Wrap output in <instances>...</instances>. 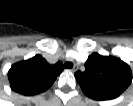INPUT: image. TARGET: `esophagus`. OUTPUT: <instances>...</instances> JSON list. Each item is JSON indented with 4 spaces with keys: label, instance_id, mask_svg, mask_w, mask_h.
<instances>
[{
    "label": "esophagus",
    "instance_id": "obj_1",
    "mask_svg": "<svg viewBox=\"0 0 133 106\" xmlns=\"http://www.w3.org/2000/svg\"><path fill=\"white\" fill-rule=\"evenodd\" d=\"M77 69H78V66L75 64V65L73 66V68L71 69V71L76 72Z\"/></svg>",
    "mask_w": 133,
    "mask_h": 106
}]
</instances>
